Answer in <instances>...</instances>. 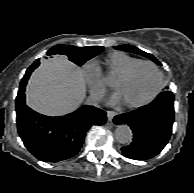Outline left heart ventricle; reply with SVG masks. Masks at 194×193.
<instances>
[{
  "label": "left heart ventricle",
  "instance_id": "obj_1",
  "mask_svg": "<svg viewBox=\"0 0 194 193\" xmlns=\"http://www.w3.org/2000/svg\"><path fill=\"white\" fill-rule=\"evenodd\" d=\"M158 84V75L155 69L149 65L140 66L126 81L118 82L117 93L126 103H139L149 98Z\"/></svg>",
  "mask_w": 194,
  "mask_h": 193
}]
</instances>
